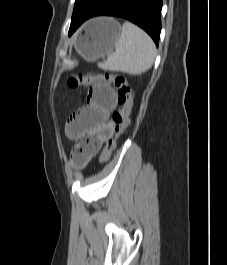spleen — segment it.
Masks as SVG:
<instances>
[{
	"instance_id": "obj_1",
	"label": "spleen",
	"mask_w": 227,
	"mask_h": 265,
	"mask_svg": "<svg viewBox=\"0 0 227 265\" xmlns=\"http://www.w3.org/2000/svg\"><path fill=\"white\" fill-rule=\"evenodd\" d=\"M156 47L150 36L136 25L125 22L115 41V51L105 62H98L104 70L139 75L148 71L155 60Z\"/></svg>"
}]
</instances>
